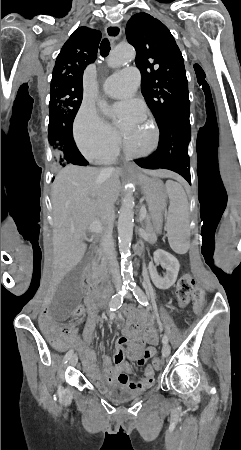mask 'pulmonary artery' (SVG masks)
<instances>
[{
    "mask_svg": "<svg viewBox=\"0 0 241 450\" xmlns=\"http://www.w3.org/2000/svg\"><path fill=\"white\" fill-rule=\"evenodd\" d=\"M141 75L138 64H127L126 69H122L119 73L109 74L103 86V90L107 94L106 100L115 102L117 99L131 97L135 88L130 83H135Z\"/></svg>",
    "mask_w": 241,
    "mask_h": 450,
    "instance_id": "1",
    "label": "pulmonary artery"
}]
</instances>
